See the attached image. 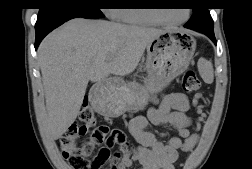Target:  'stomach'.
Wrapping results in <instances>:
<instances>
[{"label": "stomach", "instance_id": "obj_1", "mask_svg": "<svg viewBox=\"0 0 252 169\" xmlns=\"http://www.w3.org/2000/svg\"><path fill=\"white\" fill-rule=\"evenodd\" d=\"M195 49L196 40L186 31L163 30L147 45L144 84L135 81L99 83L92 103L109 117L145 108L152 94L161 92L188 68Z\"/></svg>", "mask_w": 252, "mask_h": 169}]
</instances>
